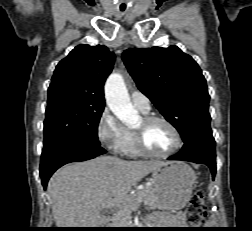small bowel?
Segmentation results:
<instances>
[{"mask_svg":"<svg viewBox=\"0 0 252 231\" xmlns=\"http://www.w3.org/2000/svg\"><path fill=\"white\" fill-rule=\"evenodd\" d=\"M173 220L175 222V224L180 227L179 231H185V227H187V225L185 224V218L183 216V214L181 213H176L174 216H173Z\"/></svg>","mask_w":252,"mask_h":231,"instance_id":"1","label":"small bowel"}]
</instances>
